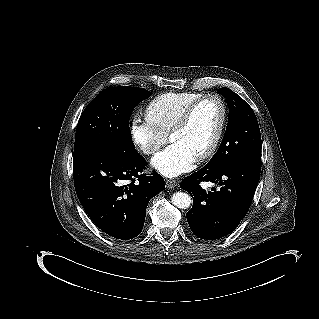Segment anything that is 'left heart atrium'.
Instances as JSON below:
<instances>
[{
	"mask_svg": "<svg viewBox=\"0 0 319 319\" xmlns=\"http://www.w3.org/2000/svg\"><path fill=\"white\" fill-rule=\"evenodd\" d=\"M193 153L182 141L174 142L155 158V166L164 174L172 176L193 169ZM175 159V164H171ZM171 164V165H170Z\"/></svg>",
	"mask_w": 319,
	"mask_h": 319,
	"instance_id": "1",
	"label": "left heart atrium"
}]
</instances>
